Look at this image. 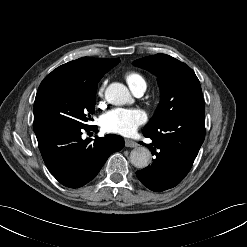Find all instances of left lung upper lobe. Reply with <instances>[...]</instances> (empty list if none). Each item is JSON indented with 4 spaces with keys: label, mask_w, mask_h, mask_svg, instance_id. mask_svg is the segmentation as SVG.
<instances>
[{
    "label": "left lung upper lobe",
    "mask_w": 247,
    "mask_h": 247,
    "mask_svg": "<svg viewBox=\"0 0 247 247\" xmlns=\"http://www.w3.org/2000/svg\"><path fill=\"white\" fill-rule=\"evenodd\" d=\"M133 64L155 73L161 90L159 107L144 130H154L179 116H204L200 82L185 63L166 54H156L138 59Z\"/></svg>",
    "instance_id": "5c2ea615"
}]
</instances>
